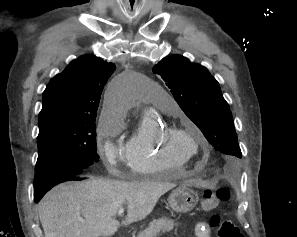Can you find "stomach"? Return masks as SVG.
Segmentation results:
<instances>
[{
    "label": "stomach",
    "mask_w": 297,
    "mask_h": 237,
    "mask_svg": "<svg viewBox=\"0 0 297 237\" xmlns=\"http://www.w3.org/2000/svg\"><path fill=\"white\" fill-rule=\"evenodd\" d=\"M170 207L179 213L191 211L198 202V195L185 186L175 189L169 196Z\"/></svg>",
    "instance_id": "1"
}]
</instances>
